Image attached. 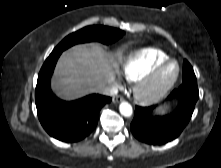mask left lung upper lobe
Returning <instances> with one entry per match:
<instances>
[{"label":"left lung upper lobe","instance_id":"left-lung-upper-lobe-1","mask_svg":"<svg viewBox=\"0 0 221 168\" xmlns=\"http://www.w3.org/2000/svg\"><path fill=\"white\" fill-rule=\"evenodd\" d=\"M196 80L193 68L187 60L183 61V81Z\"/></svg>","mask_w":221,"mask_h":168}]
</instances>
